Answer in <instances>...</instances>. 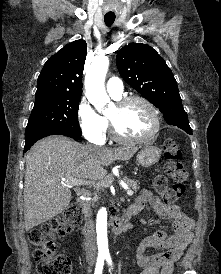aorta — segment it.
Wrapping results in <instances>:
<instances>
[{"mask_svg":"<svg viewBox=\"0 0 221 274\" xmlns=\"http://www.w3.org/2000/svg\"><path fill=\"white\" fill-rule=\"evenodd\" d=\"M109 68V60L105 57L98 58L93 61L85 76L86 96L99 111L110 103L105 90V77ZM97 244L100 254H108V238H107V211L101 208L97 214L96 221Z\"/></svg>","mask_w":221,"mask_h":274,"instance_id":"aorta-1","label":"aorta"}]
</instances>
